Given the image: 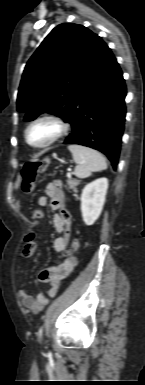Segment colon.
Here are the masks:
<instances>
[{"instance_id": "1", "label": "colon", "mask_w": 145, "mask_h": 385, "mask_svg": "<svg viewBox=\"0 0 145 385\" xmlns=\"http://www.w3.org/2000/svg\"><path fill=\"white\" fill-rule=\"evenodd\" d=\"M49 162L47 158H44L41 161L36 162H29L27 163L22 172H21V189L24 193H31L34 184L38 181L40 178V175L43 171L44 166ZM43 217V214L40 210H35L33 212V218L36 221H40ZM78 242L74 240L72 242L71 248L64 249L62 251V256L66 258L67 260L71 259L73 251L77 248ZM36 236L34 232H31L28 234L25 238V246L23 250V256L24 257H30L34 251L36 250Z\"/></svg>"}]
</instances>
